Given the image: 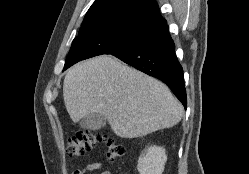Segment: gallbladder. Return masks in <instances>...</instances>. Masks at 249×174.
<instances>
[{
    "mask_svg": "<svg viewBox=\"0 0 249 174\" xmlns=\"http://www.w3.org/2000/svg\"><path fill=\"white\" fill-rule=\"evenodd\" d=\"M107 119L100 113L86 115L80 122V126L88 130H99L106 125Z\"/></svg>",
    "mask_w": 249,
    "mask_h": 174,
    "instance_id": "gallbladder-1",
    "label": "gallbladder"
}]
</instances>
